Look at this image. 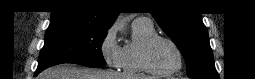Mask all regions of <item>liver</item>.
<instances>
[{
  "instance_id": "6515ba94",
  "label": "liver",
  "mask_w": 255,
  "mask_h": 79,
  "mask_svg": "<svg viewBox=\"0 0 255 79\" xmlns=\"http://www.w3.org/2000/svg\"><path fill=\"white\" fill-rule=\"evenodd\" d=\"M38 79H150L148 76H129L114 71L81 68L73 64H60L44 70Z\"/></svg>"
}]
</instances>
